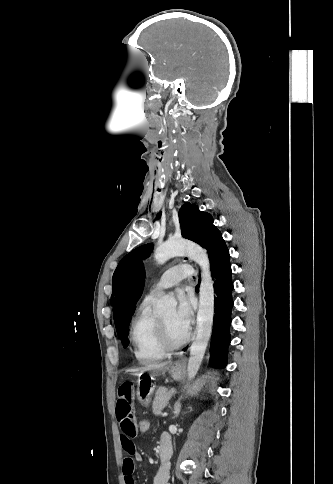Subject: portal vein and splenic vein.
<instances>
[{
  "label": "portal vein and splenic vein",
  "mask_w": 333,
  "mask_h": 484,
  "mask_svg": "<svg viewBox=\"0 0 333 484\" xmlns=\"http://www.w3.org/2000/svg\"><path fill=\"white\" fill-rule=\"evenodd\" d=\"M166 415H167V414H162V416H163V417H164V416H166Z\"/></svg>",
  "instance_id": "1"
}]
</instances>
